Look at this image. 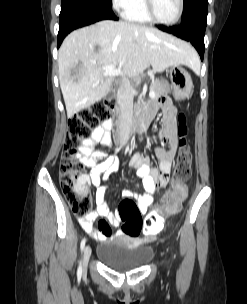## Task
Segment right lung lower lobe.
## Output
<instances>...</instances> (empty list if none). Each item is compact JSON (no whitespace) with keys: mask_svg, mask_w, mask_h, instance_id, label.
Here are the masks:
<instances>
[{"mask_svg":"<svg viewBox=\"0 0 247 304\" xmlns=\"http://www.w3.org/2000/svg\"><path fill=\"white\" fill-rule=\"evenodd\" d=\"M106 19L118 20L111 7L82 0H62L58 47L72 30Z\"/></svg>","mask_w":247,"mask_h":304,"instance_id":"obj_1","label":"right lung lower lobe"}]
</instances>
